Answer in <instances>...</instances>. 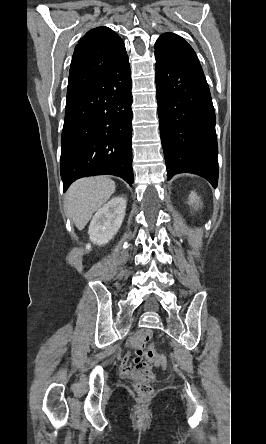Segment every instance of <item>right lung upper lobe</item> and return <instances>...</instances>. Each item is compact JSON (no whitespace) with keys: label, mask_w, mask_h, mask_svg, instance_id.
<instances>
[{"label":"right lung upper lobe","mask_w":266,"mask_h":444,"mask_svg":"<svg viewBox=\"0 0 266 444\" xmlns=\"http://www.w3.org/2000/svg\"><path fill=\"white\" fill-rule=\"evenodd\" d=\"M127 57L123 40L113 30L104 26L89 30L73 53L67 99L88 89Z\"/></svg>","instance_id":"1"}]
</instances>
